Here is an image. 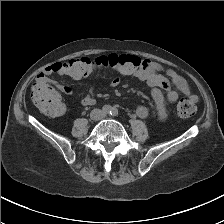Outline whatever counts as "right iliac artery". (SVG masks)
<instances>
[{
	"label": "right iliac artery",
	"mask_w": 224,
	"mask_h": 224,
	"mask_svg": "<svg viewBox=\"0 0 224 224\" xmlns=\"http://www.w3.org/2000/svg\"><path fill=\"white\" fill-rule=\"evenodd\" d=\"M112 110V107L110 105H104L102 108L103 113L110 114Z\"/></svg>",
	"instance_id": "right-iliac-artery-1"
}]
</instances>
